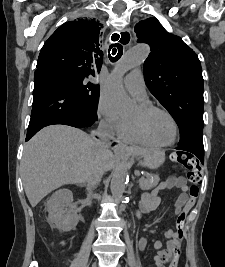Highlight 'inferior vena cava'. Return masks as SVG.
Segmentation results:
<instances>
[{
  "instance_id": "1",
  "label": "inferior vena cava",
  "mask_w": 225,
  "mask_h": 267,
  "mask_svg": "<svg viewBox=\"0 0 225 267\" xmlns=\"http://www.w3.org/2000/svg\"><path fill=\"white\" fill-rule=\"evenodd\" d=\"M96 135L99 137V139L96 140L98 148V157L96 164L87 179V190L90 193L100 183L101 178L105 172V167L103 166V164H101L99 159L109 150V145L107 141L113 138L114 133L108 124L101 122L96 132Z\"/></svg>"
}]
</instances>
